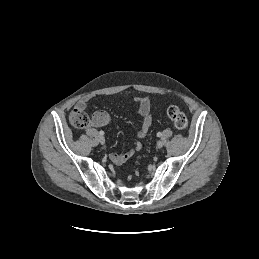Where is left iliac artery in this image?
Wrapping results in <instances>:
<instances>
[{"label": "left iliac artery", "mask_w": 259, "mask_h": 259, "mask_svg": "<svg viewBox=\"0 0 259 259\" xmlns=\"http://www.w3.org/2000/svg\"><path fill=\"white\" fill-rule=\"evenodd\" d=\"M157 136H158V137H161V136H162V133H161V132H158V133H157Z\"/></svg>", "instance_id": "44dca946"}]
</instances>
